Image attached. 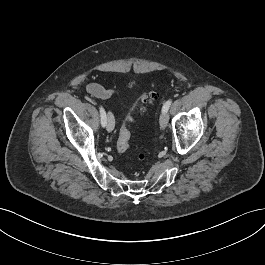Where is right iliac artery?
<instances>
[{
    "instance_id": "82829eb1",
    "label": "right iliac artery",
    "mask_w": 265,
    "mask_h": 265,
    "mask_svg": "<svg viewBox=\"0 0 265 265\" xmlns=\"http://www.w3.org/2000/svg\"><path fill=\"white\" fill-rule=\"evenodd\" d=\"M99 109H100L101 125L105 127L107 121L106 112L102 106H100Z\"/></svg>"
}]
</instances>
